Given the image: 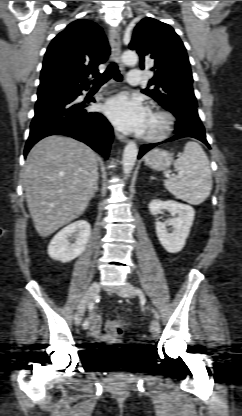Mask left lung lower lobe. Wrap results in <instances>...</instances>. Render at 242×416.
Returning <instances> with one entry per match:
<instances>
[{
	"mask_svg": "<svg viewBox=\"0 0 242 416\" xmlns=\"http://www.w3.org/2000/svg\"><path fill=\"white\" fill-rule=\"evenodd\" d=\"M176 128V135H174L173 137L163 141V142H170V141H174V140H178L180 138H184V137H193L197 140H200L201 142H203L204 144H206L208 147L209 144L206 140V136H205V131L201 129V127L194 122V119H190L187 122H178L177 121V125L175 126ZM155 143V144H146L141 146L140 149V153L138 155V158H141L146 152H148L150 149H152L153 147L163 143Z\"/></svg>",
	"mask_w": 242,
	"mask_h": 416,
	"instance_id": "left-lung-lower-lobe-1",
	"label": "left lung lower lobe"
}]
</instances>
